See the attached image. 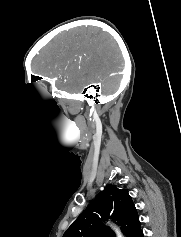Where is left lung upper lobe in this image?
<instances>
[{
    "mask_svg": "<svg viewBox=\"0 0 181 237\" xmlns=\"http://www.w3.org/2000/svg\"><path fill=\"white\" fill-rule=\"evenodd\" d=\"M112 219L126 237H136L141 226L135 205L127 189L107 185L70 225L63 237H115L102 220Z\"/></svg>",
    "mask_w": 181,
    "mask_h": 237,
    "instance_id": "1",
    "label": "left lung upper lobe"
}]
</instances>
